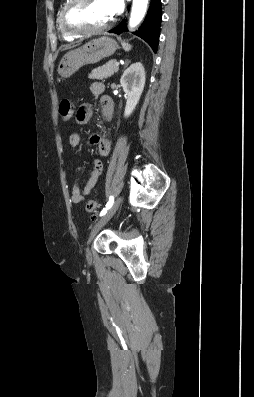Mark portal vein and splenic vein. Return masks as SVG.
Returning a JSON list of instances; mask_svg holds the SVG:
<instances>
[{
	"instance_id": "obj_1",
	"label": "portal vein and splenic vein",
	"mask_w": 254,
	"mask_h": 397,
	"mask_svg": "<svg viewBox=\"0 0 254 397\" xmlns=\"http://www.w3.org/2000/svg\"><path fill=\"white\" fill-rule=\"evenodd\" d=\"M114 64H115V66H119V62L118 61H115Z\"/></svg>"
}]
</instances>
